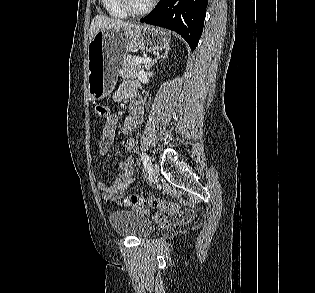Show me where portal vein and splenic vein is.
Segmentation results:
<instances>
[{"label": "portal vein and splenic vein", "instance_id": "portal-vein-and-splenic-vein-1", "mask_svg": "<svg viewBox=\"0 0 315 293\" xmlns=\"http://www.w3.org/2000/svg\"><path fill=\"white\" fill-rule=\"evenodd\" d=\"M134 61L137 63H149V62H151V58H149V57H147V58L136 57L134 59Z\"/></svg>", "mask_w": 315, "mask_h": 293}]
</instances>
